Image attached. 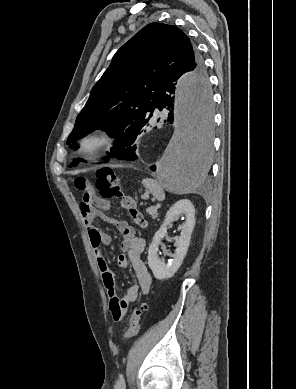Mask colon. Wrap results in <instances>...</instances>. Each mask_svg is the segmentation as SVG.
<instances>
[{
  "mask_svg": "<svg viewBox=\"0 0 296 389\" xmlns=\"http://www.w3.org/2000/svg\"><path fill=\"white\" fill-rule=\"evenodd\" d=\"M74 184L79 191L83 192V194H87L93 189L91 183L84 177H77ZM95 187L102 199L107 201L119 199L121 206L128 211L134 223L140 228L146 227L147 222L144 215L137 208L135 200L123 192L119 179L111 168L105 167L97 171ZM146 309L147 305L145 303H140L134 308L130 317L129 328L123 335L124 339H132L138 334L141 315ZM113 319L115 321H120L122 319L121 313L119 311L114 312Z\"/></svg>",
  "mask_w": 296,
  "mask_h": 389,
  "instance_id": "5ec220e1",
  "label": "colon"
}]
</instances>
